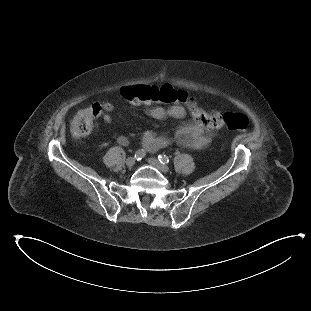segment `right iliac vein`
Instances as JSON below:
<instances>
[{
	"label": "right iliac vein",
	"mask_w": 311,
	"mask_h": 311,
	"mask_svg": "<svg viewBox=\"0 0 311 311\" xmlns=\"http://www.w3.org/2000/svg\"><path fill=\"white\" fill-rule=\"evenodd\" d=\"M135 162H136V161H135V158L129 157V158L126 160V166L129 167V168H131V167L134 166Z\"/></svg>",
	"instance_id": "obj_1"
}]
</instances>
